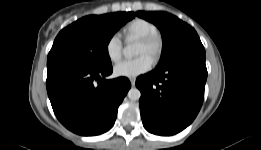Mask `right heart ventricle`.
Listing matches in <instances>:
<instances>
[{"mask_svg":"<svg viewBox=\"0 0 261 150\" xmlns=\"http://www.w3.org/2000/svg\"><path fill=\"white\" fill-rule=\"evenodd\" d=\"M126 40L141 39L143 37L158 33L157 26L146 19L135 18L128 22L122 29Z\"/></svg>","mask_w":261,"mask_h":150,"instance_id":"obj_1","label":"right heart ventricle"}]
</instances>
